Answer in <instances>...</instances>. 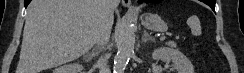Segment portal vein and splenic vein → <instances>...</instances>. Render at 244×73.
<instances>
[{
    "label": "portal vein and splenic vein",
    "mask_w": 244,
    "mask_h": 73,
    "mask_svg": "<svg viewBox=\"0 0 244 73\" xmlns=\"http://www.w3.org/2000/svg\"><path fill=\"white\" fill-rule=\"evenodd\" d=\"M161 41L165 40V38H160Z\"/></svg>",
    "instance_id": "1"
}]
</instances>
